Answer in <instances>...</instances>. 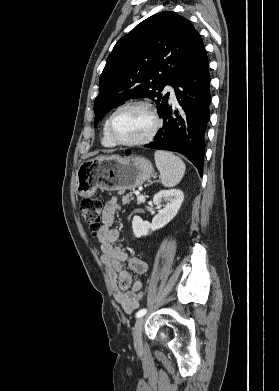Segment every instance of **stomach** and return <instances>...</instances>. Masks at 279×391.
<instances>
[{"label": "stomach", "instance_id": "1", "mask_svg": "<svg viewBox=\"0 0 279 391\" xmlns=\"http://www.w3.org/2000/svg\"><path fill=\"white\" fill-rule=\"evenodd\" d=\"M154 173L152 163L140 156H109L83 162L76 173V191L92 197L97 189L124 191L141 186Z\"/></svg>", "mask_w": 279, "mask_h": 391}]
</instances>
